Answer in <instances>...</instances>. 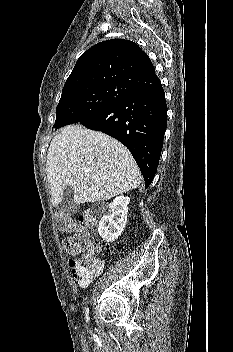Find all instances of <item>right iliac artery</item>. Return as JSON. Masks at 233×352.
<instances>
[{
  "instance_id": "1",
  "label": "right iliac artery",
  "mask_w": 233,
  "mask_h": 352,
  "mask_svg": "<svg viewBox=\"0 0 233 352\" xmlns=\"http://www.w3.org/2000/svg\"><path fill=\"white\" fill-rule=\"evenodd\" d=\"M85 318H86V321L88 322V321H89V309H88V308L86 309V316H85Z\"/></svg>"
}]
</instances>
